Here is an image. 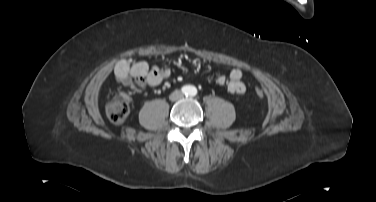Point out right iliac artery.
<instances>
[{
	"label": "right iliac artery",
	"mask_w": 376,
	"mask_h": 202,
	"mask_svg": "<svg viewBox=\"0 0 376 202\" xmlns=\"http://www.w3.org/2000/svg\"><path fill=\"white\" fill-rule=\"evenodd\" d=\"M188 91V87H183L182 92L186 93Z\"/></svg>",
	"instance_id": "obj_1"
}]
</instances>
